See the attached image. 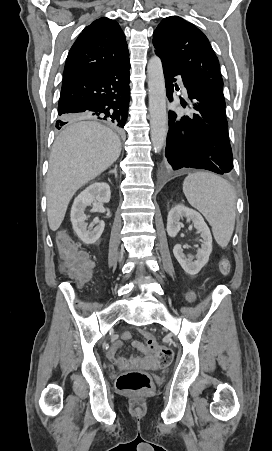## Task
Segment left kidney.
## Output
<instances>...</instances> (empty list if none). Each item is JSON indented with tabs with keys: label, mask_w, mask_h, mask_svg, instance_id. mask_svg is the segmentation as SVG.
<instances>
[{
	"label": "left kidney",
	"mask_w": 272,
	"mask_h": 451,
	"mask_svg": "<svg viewBox=\"0 0 272 451\" xmlns=\"http://www.w3.org/2000/svg\"><path fill=\"white\" fill-rule=\"evenodd\" d=\"M181 218H187V220L193 222L195 229L200 231V237H203V241L201 247L197 249L196 255H194V257H196L194 261H192L193 255H188L187 257V255L183 253L181 243H176V245H174L173 253L186 273H189V275H196L209 259V255L212 251V235L209 227L205 224L202 216H200L198 212L190 210V208H186V206H175V208L170 210L167 218V231L168 235H171V237H175L178 231H180L181 222H179V220H181Z\"/></svg>",
	"instance_id": "1"
}]
</instances>
